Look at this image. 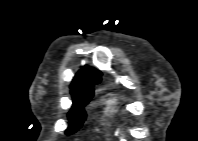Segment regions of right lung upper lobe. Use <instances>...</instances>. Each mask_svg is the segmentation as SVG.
Here are the masks:
<instances>
[{
    "label": "right lung upper lobe",
    "instance_id": "right-lung-upper-lobe-1",
    "mask_svg": "<svg viewBox=\"0 0 198 141\" xmlns=\"http://www.w3.org/2000/svg\"><path fill=\"white\" fill-rule=\"evenodd\" d=\"M101 72L91 67H83L73 79L71 88L90 86L99 83Z\"/></svg>",
    "mask_w": 198,
    "mask_h": 141
}]
</instances>
